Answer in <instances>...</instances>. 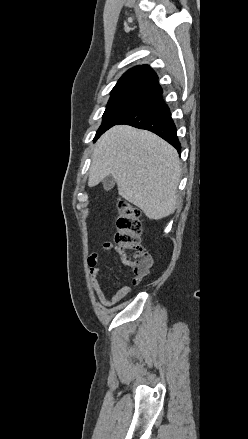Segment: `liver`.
<instances>
[{
    "mask_svg": "<svg viewBox=\"0 0 248 439\" xmlns=\"http://www.w3.org/2000/svg\"><path fill=\"white\" fill-rule=\"evenodd\" d=\"M91 158L89 186L112 175L119 195L150 220L175 211L180 160L177 151L157 135L116 125L98 139Z\"/></svg>",
    "mask_w": 248,
    "mask_h": 439,
    "instance_id": "6515ba94",
    "label": "liver"
}]
</instances>
